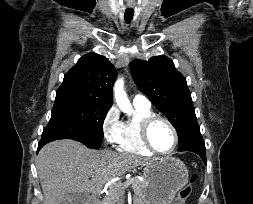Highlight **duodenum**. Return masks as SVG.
Here are the masks:
<instances>
[{
	"label": "duodenum",
	"mask_w": 253,
	"mask_h": 204,
	"mask_svg": "<svg viewBox=\"0 0 253 204\" xmlns=\"http://www.w3.org/2000/svg\"><path fill=\"white\" fill-rule=\"evenodd\" d=\"M87 204H98L97 197H91Z\"/></svg>",
	"instance_id": "obj_1"
}]
</instances>
